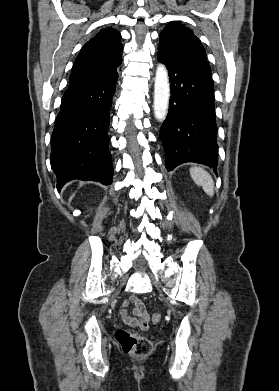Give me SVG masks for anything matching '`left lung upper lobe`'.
I'll return each instance as SVG.
<instances>
[{"mask_svg": "<svg viewBox=\"0 0 279 391\" xmlns=\"http://www.w3.org/2000/svg\"><path fill=\"white\" fill-rule=\"evenodd\" d=\"M158 51L169 60L187 66L212 81L206 52L193 31L179 22H171L159 35Z\"/></svg>", "mask_w": 279, "mask_h": 391, "instance_id": "5c2ea615", "label": "left lung upper lobe"}]
</instances>
